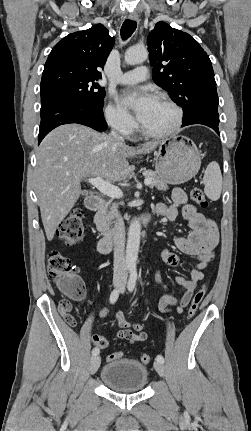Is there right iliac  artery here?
<instances>
[{
	"instance_id": "1",
	"label": "right iliac artery",
	"mask_w": 251,
	"mask_h": 431,
	"mask_svg": "<svg viewBox=\"0 0 251 431\" xmlns=\"http://www.w3.org/2000/svg\"><path fill=\"white\" fill-rule=\"evenodd\" d=\"M118 297H119V289H115V290H113L112 292H111V295H110V298H109V300H110V303H115L116 301H117V299H118ZM92 354L93 355H98L99 354V349L98 348H93V350H92Z\"/></svg>"
}]
</instances>
